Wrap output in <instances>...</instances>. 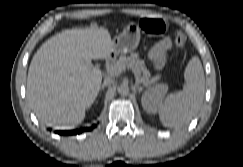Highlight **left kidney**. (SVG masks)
I'll list each match as a JSON object with an SVG mask.
<instances>
[{
    "mask_svg": "<svg viewBox=\"0 0 243 167\" xmlns=\"http://www.w3.org/2000/svg\"><path fill=\"white\" fill-rule=\"evenodd\" d=\"M167 91L164 85H157L145 91L142 96V106L148 112H155L156 107L162 102V99Z\"/></svg>",
    "mask_w": 243,
    "mask_h": 167,
    "instance_id": "1",
    "label": "left kidney"
}]
</instances>
